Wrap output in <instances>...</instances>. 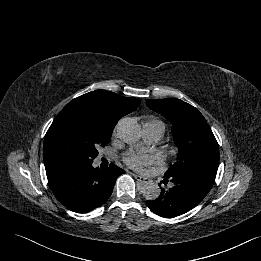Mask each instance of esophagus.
I'll use <instances>...</instances> for the list:
<instances>
[{"label":"esophagus","mask_w":261,"mask_h":261,"mask_svg":"<svg viewBox=\"0 0 261 261\" xmlns=\"http://www.w3.org/2000/svg\"><path fill=\"white\" fill-rule=\"evenodd\" d=\"M134 176H135V179H136L138 182L142 183V184H145V183H148V182L151 181L149 178L144 177V176H140V175H137V174L134 175Z\"/></svg>","instance_id":"obj_1"}]
</instances>
